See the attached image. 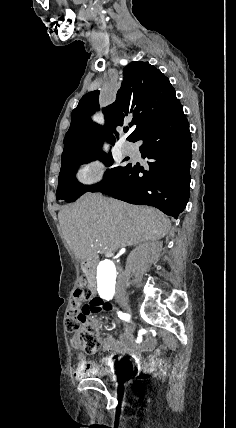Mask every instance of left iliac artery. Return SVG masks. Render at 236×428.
<instances>
[{
  "label": "left iliac artery",
  "mask_w": 236,
  "mask_h": 428,
  "mask_svg": "<svg viewBox=\"0 0 236 428\" xmlns=\"http://www.w3.org/2000/svg\"><path fill=\"white\" fill-rule=\"evenodd\" d=\"M115 291H100L99 295L101 298L106 299V300H110L113 298Z\"/></svg>",
  "instance_id": "1"
}]
</instances>
